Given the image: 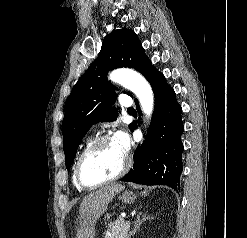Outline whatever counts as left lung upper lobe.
<instances>
[{
    "label": "left lung upper lobe",
    "instance_id": "obj_1",
    "mask_svg": "<svg viewBox=\"0 0 247 238\" xmlns=\"http://www.w3.org/2000/svg\"><path fill=\"white\" fill-rule=\"evenodd\" d=\"M120 67L134 68L146 79L155 69L137 35L125 28L113 30L105 37L98 58L74 85L65 102L62 133L66 168L71 166L79 143L92 124L117 119V113L111 107L116 100L117 88L106 76L108 70ZM132 126L133 123L129 128Z\"/></svg>",
    "mask_w": 247,
    "mask_h": 238
}]
</instances>
